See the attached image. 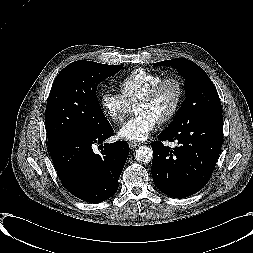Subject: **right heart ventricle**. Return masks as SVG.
<instances>
[{
    "instance_id": "right-heart-ventricle-1",
    "label": "right heart ventricle",
    "mask_w": 253,
    "mask_h": 253,
    "mask_svg": "<svg viewBox=\"0 0 253 253\" xmlns=\"http://www.w3.org/2000/svg\"><path fill=\"white\" fill-rule=\"evenodd\" d=\"M164 74L142 68L135 69L120 80L118 86L121 95L129 104L136 103L147 90L161 80Z\"/></svg>"
}]
</instances>
